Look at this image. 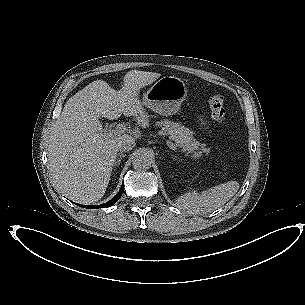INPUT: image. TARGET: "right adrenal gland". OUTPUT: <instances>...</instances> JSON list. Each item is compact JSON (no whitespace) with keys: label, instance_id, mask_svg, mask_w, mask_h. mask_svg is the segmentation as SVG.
Returning a JSON list of instances; mask_svg holds the SVG:
<instances>
[{"label":"right adrenal gland","instance_id":"right-adrenal-gland-1","mask_svg":"<svg viewBox=\"0 0 305 305\" xmlns=\"http://www.w3.org/2000/svg\"><path fill=\"white\" fill-rule=\"evenodd\" d=\"M125 157V154L123 153H119L118 156L116 157L115 161H114V164H113V167L116 169L117 166L120 165V162H121V159Z\"/></svg>","mask_w":305,"mask_h":305}]
</instances>
